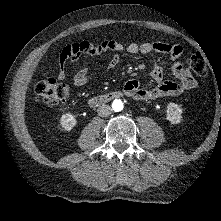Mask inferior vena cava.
<instances>
[{
  "instance_id": "602c4592",
  "label": "inferior vena cava",
  "mask_w": 221,
  "mask_h": 221,
  "mask_svg": "<svg viewBox=\"0 0 221 221\" xmlns=\"http://www.w3.org/2000/svg\"><path fill=\"white\" fill-rule=\"evenodd\" d=\"M98 115L101 117H107L112 113V108L109 105H101L98 109H97Z\"/></svg>"
}]
</instances>
